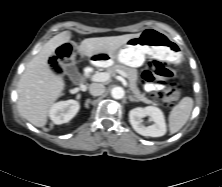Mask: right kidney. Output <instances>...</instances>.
<instances>
[{
	"mask_svg": "<svg viewBox=\"0 0 222 187\" xmlns=\"http://www.w3.org/2000/svg\"><path fill=\"white\" fill-rule=\"evenodd\" d=\"M79 108L80 105L75 100L60 101L52 105L49 116L54 124L67 123L77 114Z\"/></svg>",
	"mask_w": 222,
	"mask_h": 187,
	"instance_id": "ca27d5eb",
	"label": "right kidney"
}]
</instances>
